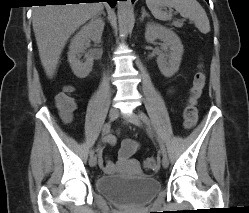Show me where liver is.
Here are the masks:
<instances>
[{
    "mask_svg": "<svg viewBox=\"0 0 249 213\" xmlns=\"http://www.w3.org/2000/svg\"><path fill=\"white\" fill-rule=\"evenodd\" d=\"M102 9V2L33 7V31L42 66L49 78L54 76L70 36Z\"/></svg>",
    "mask_w": 249,
    "mask_h": 213,
    "instance_id": "liver-1",
    "label": "liver"
}]
</instances>
